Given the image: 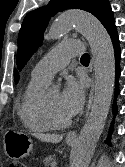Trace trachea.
I'll return each mask as SVG.
<instances>
[{
	"label": "trachea",
	"mask_w": 125,
	"mask_h": 167,
	"mask_svg": "<svg viewBox=\"0 0 125 167\" xmlns=\"http://www.w3.org/2000/svg\"><path fill=\"white\" fill-rule=\"evenodd\" d=\"M81 61L82 62H89L90 61V55L87 54V53L83 54L82 57H81Z\"/></svg>",
	"instance_id": "1"
}]
</instances>
